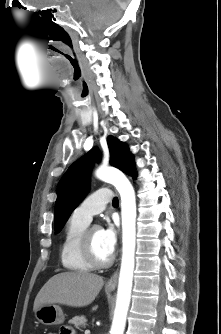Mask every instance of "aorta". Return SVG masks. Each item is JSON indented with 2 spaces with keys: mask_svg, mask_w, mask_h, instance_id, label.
<instances>
[{
  "mask_svg": "<svg viewBox=\"0 0 221 334\" xmlns=\"http://www.w3.org/2000/svg\"><path fill=\"white\" fill-rule=\"evenodd\" d=\"M96 177L115 186L121 197L122 260L119 273L116 306L110 334H123L130 306L136 246V199L127 177L112 167H100Z\"/></svg>",
  "mask_w": 221,
  "mask_h": 334,
  "instance_id": "obj_1",
  "label": "aorta"
}]
</instances>
